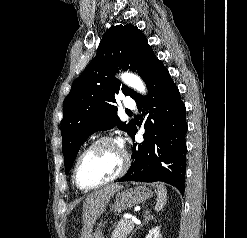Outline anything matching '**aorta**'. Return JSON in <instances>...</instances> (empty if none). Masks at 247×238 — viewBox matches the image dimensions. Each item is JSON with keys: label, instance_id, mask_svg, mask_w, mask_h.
<instances>
[{"label": "aorta", "instance_id": "1", "mask_svg": "<svg viewBox=\"0 0 247 238\" xmlns=\"http://www.w3.org/2000/svg\"><path fill=\"white\" fill-rule=\"evenodd\" d=\"M121 79L126 85L138 91L139 93H142V94L146 93L145 84L140 79V77L134 74H131V73H124L122 74Z\"/></svg>", "mask_w": 247, "mask_h": 238}]
</instances>
